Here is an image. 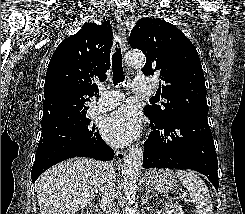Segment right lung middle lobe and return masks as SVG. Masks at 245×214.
Listing matches in <instances>:
<instances>
[{
    "instance_id": "dd1d6c3e",
    "label": "right lung middle lobe",
    "mask_w": 245,
    "mask_h": 214,
    "mask_svg": "<svg viewBox=\"0 0 245 214\" xmlns=\"http://www.w3.org/2000/svg\"><path fill=\"white\" fill-rule=\"evenodd\" d=\"M86 113L84 112L58 127L42 130L41 139H55L59 136L68 137L73 134L80 144L90 143L93 129L90 119L86 117Z\"/></svg>"
}]
</instances>
